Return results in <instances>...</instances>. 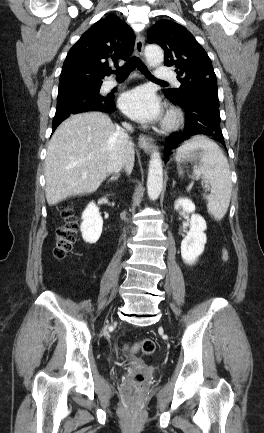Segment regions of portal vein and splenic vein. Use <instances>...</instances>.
I'll return each instance as SVG.
<instances>
[{
    "label": "portal vein and splenic vein",
    "instance_id": "1",
    "mask_svg": "<svg viewBox=\"0 0 264 433\" xmlns=\"http://www.w3.org/2000/svg\"><path fill=\"white\" fill-rule=\"evenodd\" d=\"M205 188L207 189V188H209V186H208V185H205Z\"/></svg>",
    "mask_w": 264,
    "mask_h": 433
}]
</instances>
